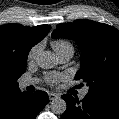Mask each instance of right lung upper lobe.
Masks as SVG:
<instances>
[{"mask_svg": "<svg viewBox=\"0 0 119 119\" xmlns=\"http://www.w3.org/2000/svg\"><path fill=\"white\" fill-rule=\"evenodd\" d=\"M49 25L24 27L18 24L0 26V113L20 93L17 80L21 65L32 46L49 32Z\"/></svg>", "mask_w": 119, "mask_h": 119, "instance_id": "1", "label": "right lung upper lobe"}]
</instances>
